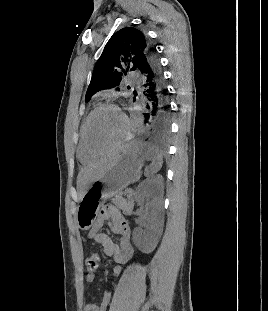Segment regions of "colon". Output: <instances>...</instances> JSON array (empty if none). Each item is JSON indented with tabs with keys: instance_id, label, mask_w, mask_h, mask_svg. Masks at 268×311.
<instances>
[{
	"instance_id": "5ec220e1",
	"label": "colon",
	"mask_w": 268,
	"mask_h": 311,
	"mask_svg": "<svg viewBox=\"0 0 268 311\" xmlns=\"http://www.w3.org/2000/svg\"><path fill=\"white\" fill-rule=\"evenodd\" d=\"M100 258L96 253H90L86 257L85 265L89 272H94L99 267Z\"/></svg>"
}]
</instances>
